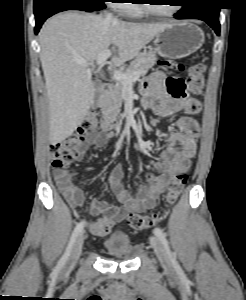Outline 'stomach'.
<instances>
[{
  "label": "stomach",
  "mask_w": 246,
  "mask_h": 300,
  "mask_svg": "<svg viewBox=\"0 0 246 300\" xmlns=\"http://www.w3.org/2000/svg\"><path fill=\"white\" fill-rule=\"evenodd\" d=\"M204 41V33L200 27L189 21H178L159 32L154 45L162 56L180 59L196 52Z\"/></svg>",
  "instance_id": "1"
}]
</instances>
